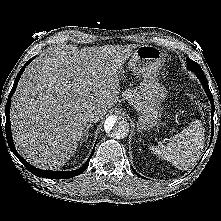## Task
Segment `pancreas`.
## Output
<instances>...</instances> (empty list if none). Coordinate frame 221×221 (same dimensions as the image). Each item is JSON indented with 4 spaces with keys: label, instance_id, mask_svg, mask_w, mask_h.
<instances>
[{
    "label": "pancreas",
    "instance_id": "pancreas-1",
    "mask_svg": "<svg viewBox=\"0 0 221 221\" xmlns=\"http://www.w3.org/2000/svg\"><path fill=\"white\" fill-rule=\"evenodd\" d=\"M122 95L135 110L141 109V96L136 89H125Z\"/></svg>",
    "mask_w": 221,
    "mask_h": 221
}]
</instances>
